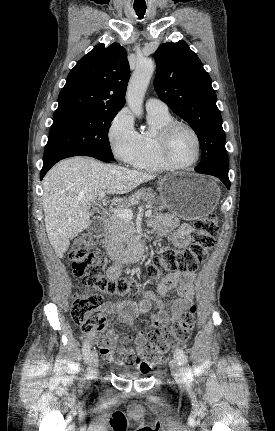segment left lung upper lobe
<instances>
[{
  "label": "left lung upper lobe",
  "instance_id": "left-lung-upper-lobe-1",
  "mask_svg": "<svg viewBox=\"0 0 275 431\" xmlns=\"http://www.w3.org/2000/svg\"><path fill=\"white\" fill-rule=\"evenodd\" d=\"M154 58V87L159 98L198 136L202 160L195 170L228 173L222 117L212 80L202 62L183 40L162 44Z\"/></svg>",
  "mask_w": 275,
  "mask_h": 431
}]
</instances>
